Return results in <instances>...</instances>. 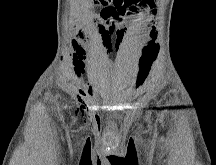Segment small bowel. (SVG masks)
<instances>
[{"label": "small bowel", "instance_id": "c3829d8e", "mask_svg": "<svg viewBox=\"0 0 216 165\" xmlns=\"http://www.w3.org/2000/svg\"><path fill=\"white\" fill-rule=\"evenodd\" d=\"M154 0H131V2L123 7H110L103 9L99 24V33L102 37L108 55L117 53L123 45L125 39L129 35V30L126 25L127 18L134 17L137 13L143 14L151 8ZM85 69L80 61L74 63V74L77 78L81 77ZM143 79L136 82L135 89L141 87ZM92 90L87 92V96H91Z\"/></svg>", "mask_w": 216, "mask_h": 165}]
</instances>
